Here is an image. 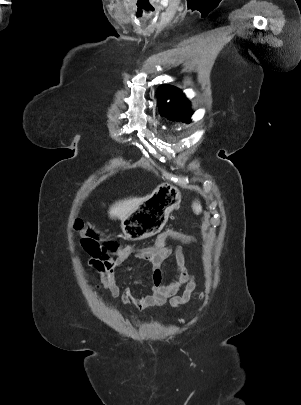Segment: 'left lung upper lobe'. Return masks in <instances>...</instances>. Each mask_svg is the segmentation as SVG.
<instances>
[{
    "label": "left lung upper lobe",
    "mask_w": 301,
    "mask_h": 405,
    "mask_svg": "<svg viewBox=\"0 0 301 405\" xmlns=\"http://www.w3.org/2000/svg\"><path fill=\"white\" fill-rule=\"evenodd\" d=\"M158 106L162 115L171 120L189 123L193 111L189 109L190 103L182 92L174 86L162 85L157 90ZM170 99L169 103L166 100Z\"/></svg>",
    "instance_id": "1"
}]
</instances>
